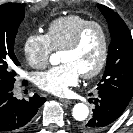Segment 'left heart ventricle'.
<instances>
[{
  "label": "left heart ventricle",
  "instance_id": "b2bd125f",
  "mask_svg": "<svg viewBox=\"0 0 133 133\" xmlns=\"http://www.w3.org/2000/svg\"><path fill=\"white\" fill-rule=\"evenodd\" d=\"M102 49V36L97 28L87 31L80 46L72 51H62L61 62L72 63L80 74L92 70L98 63Z\"/></svg>",
  "mask_w": 133,
  "mask_h": 133
}]
</instances>
